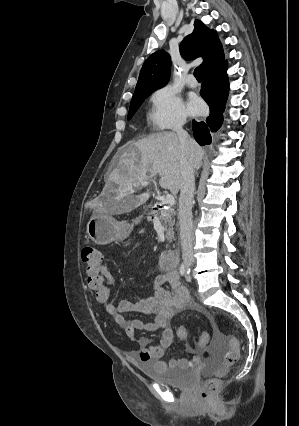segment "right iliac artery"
<instances>
[{
    "label": "right iliac artery",
    "mask_w": 299,
    "mask_h": 426,
    "mask_svg": "<svg viewBox=\"0 0 299 426\" xmlns=\"http://www.w3.org/2000/svg\"><path fill=\"white\" fill-rule=\"evenodd\" d=\"M179 271H180V274L182 276L185 275L186 269H185V265L184 264H181Z\"/></svg>",
    "instance_id": "82829eb1"
}]
</instances>
